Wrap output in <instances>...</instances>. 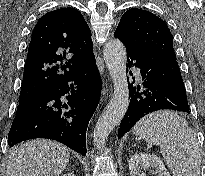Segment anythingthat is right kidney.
<instances>
[{"label": "right kidney", "mask_w": 205, "mask_h": 176, "mask_svg": "<svg viewBox=\"0 0 205 176\" xmlns=\"http://www.w3.org/2000/svg\"><path fill=\"white\" fill-rule=\"evenodd\" d=\"M62 176H75L73 173H67V174H64Z\"/></svg>", "instance_id": "ca27d5eb"}]
</instances>
